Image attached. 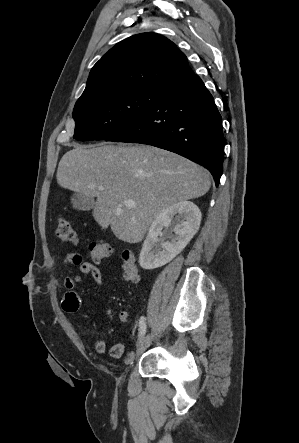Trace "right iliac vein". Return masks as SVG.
Segmentation results:
<instances>
[{
    "label": "right iliac vein",
    "instance_id": "63e3f726",
    "mask_svg": "<svg viewBox=\"0 0 299 443\" xmlns=\"http://www.w3.org/2000/svg\"><path fill=\"white\" fill-rule=\"evenodd\" d=\"M152 339H153L152 334H148L145 337H143V339H141V341L139 342V344L137 346L136 355L142 354L147 349V347L150 345Z\"/></svg>",
    "mask_w": 299,
    "mask_h": 443
}]
</instances>
